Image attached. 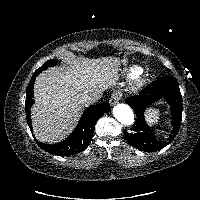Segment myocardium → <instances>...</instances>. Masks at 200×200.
Here are the masks:
<instances>
[{
  "mask_svg": "<svg viewBox=\"0 0 200 200\" xmlns=\"http://www.w3.org/2000/svg\"><path fill=\"white\" fill-rule=\"evenodd\" d=\"M145 83H146V79L144 76H142L141 74L138 76H135L130 83V90L132 92H138L139 90L143 88Z\"/></svg>",
  "mask_w": 200,
  "mask_h": 200,
  "instance_id": "1",
  "label": "myocardium"
}]
</instances>
